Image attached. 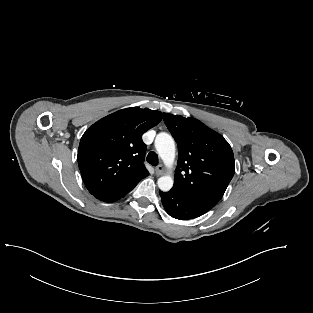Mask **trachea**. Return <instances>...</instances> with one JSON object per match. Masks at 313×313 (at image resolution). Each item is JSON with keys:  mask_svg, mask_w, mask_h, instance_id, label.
<instances>
[{"mask_svg": "<svg viewBox=\"0 0 313 313\" xmlns=\"http://www.w3.org/2000/svg\"><path fill=\"white\" fill-rule=\"evenodd\" d=\"M147 162L150 163L152 166H157L158 165V155L155 152H150L147 155Z\"/></svg>", "mask_w": 313, "mask_h": 313, "instance_id": "3493384b", "label": "trachea"}]
</instances>
